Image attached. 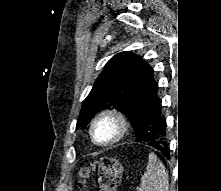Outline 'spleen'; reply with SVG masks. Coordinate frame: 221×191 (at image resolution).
<instances>
[{
    "mask_svg": "<svg viewBox=\"0 0 221 191\" xmlns=\"http://www.w3.org/2000/svg\"><path fill=\"white\" fill-rule=\"evenodd\" d=\"M137 191H169L168 172L154 153L149 154L146 172Z\"/></svg>",
    "mask_w": 221,
    "mask_h": 191,
    "instance_id": "1",
    "label": "spleen"
}]
</instances>
